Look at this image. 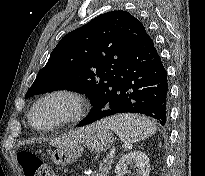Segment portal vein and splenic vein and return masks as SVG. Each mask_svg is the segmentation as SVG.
I'll list each match as a JSON object with an SVG mask.
<instances>
[{
  "label": "portal vein and splenic vein",
  "mask_w": 205,
  "mask_h": 176,
  "mask_svg": "<svg viewBox=\"0 0 205 176\" xmlns=\"http://www.w3.org/2000/svg\"><path fill=\"white\" fill-rule=\"evenodd\" d=\"M113 157H114V149H112L108 154V158L112 159Z\"/></svg>",
  "instance_id": "1"
}]
</instances>
